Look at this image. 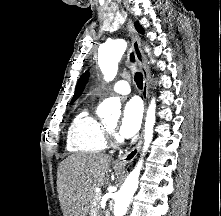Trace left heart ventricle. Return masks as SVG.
Here are the masks:
<instances>
[{
    "mask_svg": "<svg viewBox=\"0 0 221 216\" xmlns=\"http://www.w3.org/2000/svg\"><path fill=\"white\" fill-rule=\"evenodd\" d=\"M108 125L113 128L115 125V121L108 123Z\"/></svg>",
    "mask_w": 221,
    "mask_h": 216,
    "instance_id": "obj_1",
    "label": "left heart ventricle"
}]
</instances>
